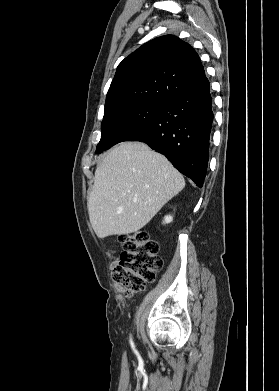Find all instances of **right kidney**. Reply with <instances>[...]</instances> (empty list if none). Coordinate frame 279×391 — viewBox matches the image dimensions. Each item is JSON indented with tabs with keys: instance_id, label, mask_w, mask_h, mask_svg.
<instances>
[{
	"instance_id": "ca27d5eb",
	"label": "right kidney",
	"mask_w": 279,
	"mask_h": 391,
	"mask_svg": "<svg viewBox=\"0 0 279 391\" xmlns=\"http://www.w3.org/2000/svg\"><path fill=\"white\" fill-rule=\"evenodd\" d=\"M173 221V216L171 215H166L164 217V220H163V224H168V223H171Z\"/></svg>"
}]
</instances>
